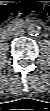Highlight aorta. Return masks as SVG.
<instances>
[{"label":"aorta","instance_id":"aorta-1","mask_svg":"<svg viewBox=\"0 0 50 111\" xmlns=\"http://www.w3.org/2000/svg\"><path fill=\"white\" fill-rule=\"evenodd\" d=\"M40 30H41V27L36 23H32L27 26L28 34L32 36L38 35L40 33Z\"/></svg>","mask_w":50,"mask_h":111}]
</instances>
